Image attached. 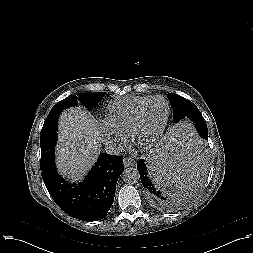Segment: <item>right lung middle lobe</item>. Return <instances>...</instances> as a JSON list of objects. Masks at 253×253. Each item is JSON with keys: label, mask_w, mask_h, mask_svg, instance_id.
Wrapping results in <instances>:
<instances>
[{"label": "right lung middle lobe", "mask_w": 253, "mask_h": 253, "mask_svg": "<svg viewBox=\"0 0 253 253\" xmlns=\"http://www.w3.org/2000/svg\"><path fill=\"white\" fill-rule=\"evenodd\" d=\"M106 93H80L71 95L58 102L47 116L40 134L41 160L51 159L54 156L57 141V122L60 113L69 107L78 106L80 103L92 110Z\"/></svg>", "instance_id": "obj_1"}]
</instances>
